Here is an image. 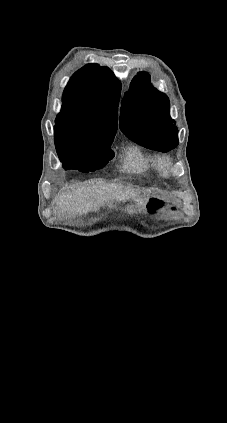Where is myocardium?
Returning <instances> with one entry per match:
<instances>
[{"instance_id": "myocardium-1", "label": "myocardium", "mask_w": 227, "mask_h": 423, "mask_svg": "<svg viewBox=\"0 0 227 423\" xmlns=\"http://www.w3.org/2000/svg\"><path fill=\"white\" fill-rule=\"evenodd\" d=\"M160 167L163 169L165 173L170 172L172 160L169 157H163L159 161Z\"/></svg>"}]
</instances>
